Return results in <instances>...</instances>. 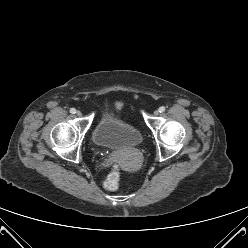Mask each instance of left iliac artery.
<instances>
[{
	"instance_id": "left-iliac-artery-1",
	"label": "left iliac artery",
	"mask_w": 248,
	"mask_h": 248,
	"mask_svg": "<svg viewBox=\"0 0 248 248\" xmlns=\"http://www.w3.org/2000/svg\"><path fill=\"white\" fill-rule=\"evenodd\" d=\"M165 110H166V108H165L164 106H161V107L159 108V112H160V113L164 112Z\"/></svg>"
}]
</instances>
